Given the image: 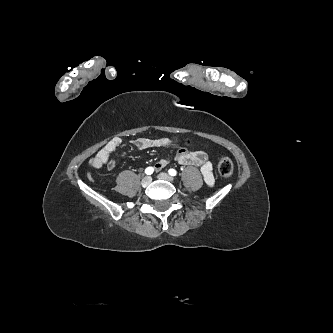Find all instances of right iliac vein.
<instances>
[{
	"instance_id": "obj_1",
	"label": "right iliac vein",
	"mask_w": 333,
	"mask_h": 333,
	"mask_svg": "<svg viewBox=\"0 0 333 333\" xmlns=\"http://www.w3.org/2000/svg\"><path fill=\"white\" fill-rule=\"evenodd\" d=\"M151 182H152V178H151L150 176H146V177H144V178L142 179V181H141V185H142L143 187H147L148 185L151 184Z\"/></svg>"
}]
</instances>
